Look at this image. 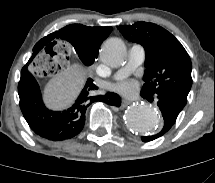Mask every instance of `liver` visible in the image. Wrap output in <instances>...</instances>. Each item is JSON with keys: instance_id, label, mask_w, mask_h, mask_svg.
Returning a JSON list of instances; mask_svg holds the SVG:
<instances>
[{"instance_id": "obj_1", "label": "liver", "mask_w": 215, "mask_h": 183, "mask_svg": "<svg viewBox=\"0 0 215 183\" xmlns=\"http://www.w3.org/2000/svg\"><path fill=\"white\" fill-rule=\"evenodd\" d=\"M85 75V70L79 64L62 68L44 89V101L47 106L55 110L69 107L82 90Z\"/></svg>"}]
</instances>
